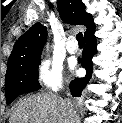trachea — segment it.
I'll list each match as a JSON object with an SVG mask.
<instances>
[{"label":"trachea","instance_id":"trachea-1","mask_svg":"<svg viewBox=\"0 0 122 123\" xmlns=\"http://www.w3.org/2000/svg\"><path fill=\"white\" fill-rule=\"evenodd\" d=\"M77 41H78V44L79 45H84V37H83V34L81 33V32H79L78 34H77Z\"/></svg>","mask_w":122,"mask_h":123}]
</instances>
